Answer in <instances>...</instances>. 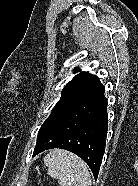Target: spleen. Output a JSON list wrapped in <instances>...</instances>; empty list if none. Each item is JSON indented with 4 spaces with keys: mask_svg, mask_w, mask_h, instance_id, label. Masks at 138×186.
I'll use <instances>...</instances> for the list:
<instances>
[{
    "mask_svg": "<svg viewBox=\"0 0 138 186\" xmlns=\"http://www.w3.org/2000/svg\"><path fill=\"white\" fill-rule=\"evenodd\" d=\"M47 173L61 186H91V175L86 163L76 155L61 149L49 152L44 158Z\"/></svg>",
    "mask_w": 138,
    "mask_h": 186,
    "instance_id": "obj_1",
    "label": "spleen"
}]
</instances>
